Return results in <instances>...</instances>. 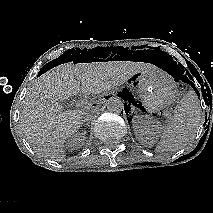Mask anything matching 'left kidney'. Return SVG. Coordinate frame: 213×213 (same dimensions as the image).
Returning <instances> with one entry per match:
<instances>
[{"label": "left kidney", "instance_id": "5707ae66", "mask_svg": "<svg viewBox=\"0 0 213 213\" xmlns=\"http://www.w3.org/2000/svg\"><path fill=\"white\" fill-rule=\"evenodd\" d=\"M133 126L138 139L144 144L153 143L160 130L158 122L149 116H135Z\"/></svg>", "mask_w": 213, "mask_h": 213}]
</instances>
